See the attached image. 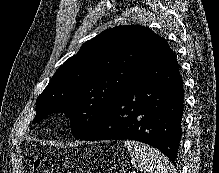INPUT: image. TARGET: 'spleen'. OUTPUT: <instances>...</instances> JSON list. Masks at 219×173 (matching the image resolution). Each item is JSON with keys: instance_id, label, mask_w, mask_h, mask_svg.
I'll return each instance as SVG.
<instances>
[{"instance_id": "3e777b00", "label": "spleen", "mask_w": 219, "mask_h": 173, "mask_svg": "<svg viewBox=\"0 0 219 173\" xmlns=\"http://www.w3.org/2000/svg\"><path fill=\"white\" fill-rule=\"evenodd\" d=\"M124 147L132 166L142 173H176L174 166L159 150L129 140L124 142Z\"/></svg>"}]
</instances>
